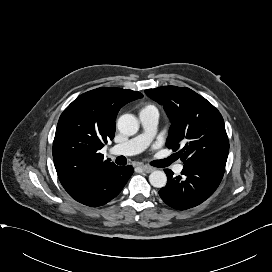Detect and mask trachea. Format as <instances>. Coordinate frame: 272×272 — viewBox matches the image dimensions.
<instances>
[{"mask_svg":"<svg viewBox=\"0 0 272 272\" xmlns=\"http://www.w3.org/2000/svg\"><path fill=\"white\" fill-rule=\"evenodd\" d=\"M171 162L170 159H167V160H163V161H160V165H168L169 163Z\"/></svg>","mask_w":272,"mask_h":272,"instance_id":"3493384b","label":"trachea"}]
</instances>
